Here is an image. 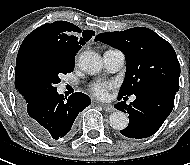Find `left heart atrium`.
Instances as JSON below:
<instances>
[{"label": "left heart atrium", "mask_w": 190, "mask_h": 165, "mask_svg": "<svg viewBox=\"0 0 190 165\" xmlns=\"http://www.w3.org/2000/svg\"><path fill=\"white\" fill-rule=\"evenodd\" d=\"M113 84L105 81H95L90 85V91L100 99H106Z\"/></svg>", "instance_id": "left-heart-atrium-1"}]
</instances>
